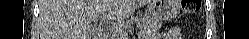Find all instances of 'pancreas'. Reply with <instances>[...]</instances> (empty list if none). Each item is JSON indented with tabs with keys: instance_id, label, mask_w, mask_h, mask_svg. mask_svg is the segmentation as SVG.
I'll use <instances>...</instances> for the list:
<instances>
[{
	"instance_id": "cf45deb5",
	"label": "pancreas",
	"mask_w": 249,
	"mask_h": 39,
	"mask_svg": "<svg viewBox=\"0 0 249 39\" xmlns=\"http://www.w3.org/2000/svg\"><path fill=\"white\" fill-rule=\"evenodd\" d=\"M137 23L144 39H148L155 35L162 26L161 20L150 16L139 19Z\"/></svg>"
}]
</instances>
